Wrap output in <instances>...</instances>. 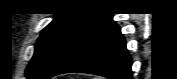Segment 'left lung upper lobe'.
Masks as SVG:
<instances>
[{
  "label": "left lung upper lobe",
  "instance_id": "left-lung-upper-lobe-1",
  "mask_svg": "<svg viewBox=\"0 0 177 79\" xmlns=\"http://www.w3.org/2000/svg\"><path fill=\"white\" fill-rule=\"evenodd\" d=\"M109 14L57 13L44 28L26 74L28 79H49L71 49Z\"/></svg>",
  "mask_w": 177,
  "mask_h": 79
}]
</instances>
